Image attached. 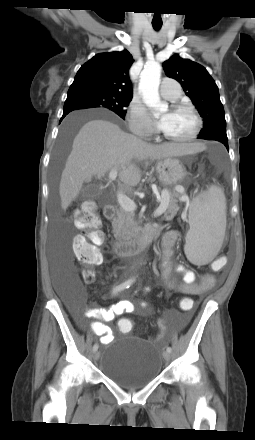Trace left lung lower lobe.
Segmentation results:
<instances>
[{
  "label": "left lung lower lobe",
  "instance_id": "0a47b994",
  "mask_svg": "<svg viewBox=\"0 0 255 440\" xmlns=\"http://www.w3.org/2000/svg\"><path fill=\"white\" fill-rule=\"evenodd\" d=\"M219 142L223 143L225 145V147L228 149V141H219Z\"/></svg>",
  "mask_w": 255,
  "mask_h": 440
}]
</instances>
